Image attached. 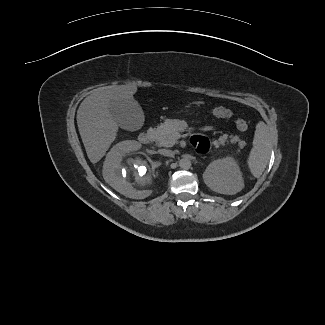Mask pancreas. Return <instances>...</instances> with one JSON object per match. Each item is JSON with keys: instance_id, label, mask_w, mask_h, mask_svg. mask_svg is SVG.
Listing matches in <instances>:
<instances>
[{"instance_id": "obj_1", "label": "pancreas", "mask_w": 325, "mask_h": 325, "mask_svg": "<svg viewBox=\"0 0 325 325\" xmlns=\"http://www.w3.org/2000/svg\"><path fill=\"white\" fill-rule=\"evenodd\" d=\"M189 129V131L193 130L192 128H188L187 123L184 120H172L167 119L164 123H162L160 126L156 128L157 132V138H156V144L159 147H172L175 145L178 141L180 132H183L185 130ZM229 139V140H228ZM232 143L235 144L238 142L239 149L237 150V153L240 152V149L244 148L246 145V142L243 140H240L239 136L224 134L219 137L218 140H214L213 144L218 147L219 145H225L226 143Z\"/></svg>"}]
</instances>
